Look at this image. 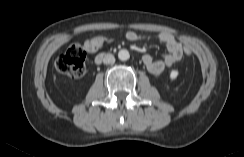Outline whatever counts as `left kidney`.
<instances>
[{
  "label": "left kidney",
  "mask_w": 244,
  "mask_h": 157,
  "mask_svg": "<svg viewBox=\"0 0 244 157\" xmlns=\"http://www.w3.org/2000/svg\"><path fill=\"white\" fill-rule=\"evenodd\" d=\"M178 74H179V72H178L177 70H172V71L170 72V78H171V80L176 79L177 76H178Z\"/></svg>",
  "instance_id": "5707ae66"
}]
</instances>
